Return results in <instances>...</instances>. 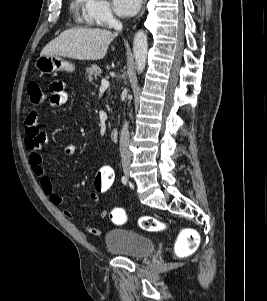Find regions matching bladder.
Segmentation results:
<instances>
[{"mask_svg":"<svg viewBox=\"0 0 267 301\" xmlns=\"http://www.w3.org/2000/svg\"><path fill=\"white\" fill-rule=\"evenodd\" d=\"M104 244L111 252L132 259L150 255L155 250V244L150 238L120 228L108 230L104 236Z\"/></svg>","mask_w":267,"mask_h":301,"instance_id":"1","label":"bladder"}]
</instances>
